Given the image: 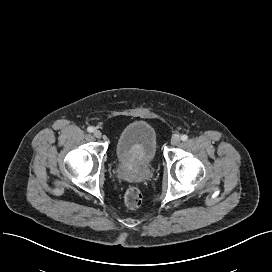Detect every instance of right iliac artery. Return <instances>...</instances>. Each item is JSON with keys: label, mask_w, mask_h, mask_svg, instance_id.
Listing matches in <instances>:
<instances>
[{"label": "right iliac artery", "mask_w": 272, "mask_h": 272, "mask_svg": "<svg viewBox=\"0 0 272 272\" xmlns=\"http://www.w3.org/2000/svg\"><path fill=\"white\" fill-rule=\"evenodd\" d=\"M87 131L91 133V132L94 131V128L92 126H90V127L87 128Z\"/></svg>", "instance_id": "1"}]
</instances>
